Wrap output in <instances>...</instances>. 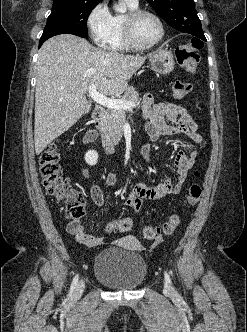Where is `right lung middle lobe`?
<instances>
[{
  "label": "right lung middle lobe",
  "instance_id": "1",
  "mask_svg": "<svg viewBox=\"0 0 247 332\" xmlns=\"http://www.w3.org/2000/svg\"><path fill=\"white\" fill-rule=\"evenodd\" d=\"M101 0H54L46 27L65 25L87 36V19Z\"/></svg>",
  "mask_w": 247,
  "mask_h": 332
}]
</instances>
